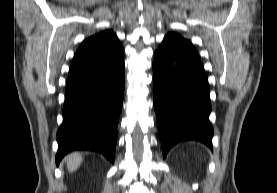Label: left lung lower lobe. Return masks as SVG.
<instances>
[{
	"label": "left lung lower lobe",
	"instance_id": "left-lung-lower-lobe-1",
	"mask_svg": "<svg viewBox=\"0 0 277 193\" xmlns=\"http://www.w3.org/2000/svg\"><path fill=\"white\" fill-rule=\"evenodd\" d=\"M154 108L163 156L180 141L197 140L212 149L208 79L196 49L168 34L153 61Z\"/></svg>",
	"mask_w": 277,
	"mask_h": 193
}]
</instances>
